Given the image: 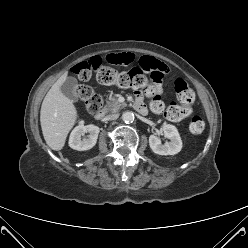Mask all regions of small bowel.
<instances>
[{
	"label": "small bowel",
	"instance_id": "small-bowel-1",
	"mask_svg": "<svg viewBox=\"0 0 248 248\" xmlns=\"http://www.w3.org/2000/svg\"><path fill=\"white\" fill-rule=\"evenodd\" d=\"M104 60L116 65L130 64L134 61V55L130 52H120L107 55ZM139 64L142 69L152 71L156 78L162 77L163 74L167 72V66L154 57L145 56L140 60ZM136 103L140 104L144 108V112L146 111L145 105L142 102L141 94L137 95Z\"/></svg>",
	"mask_w": 248,
	"mask_h": 248
}]
</instances>
